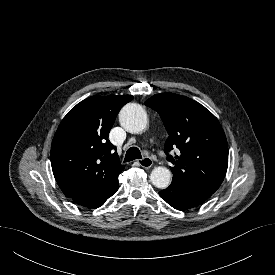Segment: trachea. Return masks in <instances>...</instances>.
Listing matches in <instances>:
<instances>
[{
  "mask_svg": "<svg viewBox=\"0 0 275 275\" xmlns=\"http://www.w3.org/2000/svg\"><path fill=\"white\" fill-rule=\"evenodd\" d=\"M141 158H142V155L140 150L137 147H131L126 152L124 162H130L135 159H141Z\"/></svg>",
  "mask_w": 275,
  "mask_h": 275,
  "instance_id": "obj_1",
  "label": "trachea"
}]
</instances>
